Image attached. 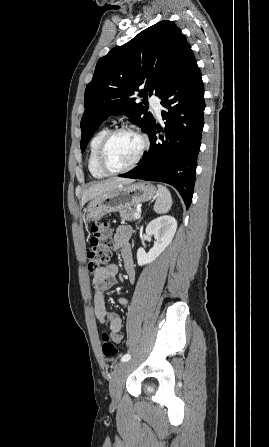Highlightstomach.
<instances>
[{
	"label": "stomach",
	"instance_id": "0dacf381",
	"mask_svg": "<svg viewBox=\"0 0 269 447\" xmlns=\"http://www.w3.org/2000/svg\"><path fill=\"white\" fill-rule=\"evenodd\" d=\"M156 194V188L150 182H138V184H120L111 192L101 194L93 198L86 206L85 218L87 222H96L110 212H121L136 206L140 202L152 200Z\"/></svg>",
	"mask_w": 269,
	"mask_h": 447
}]
</instances>
